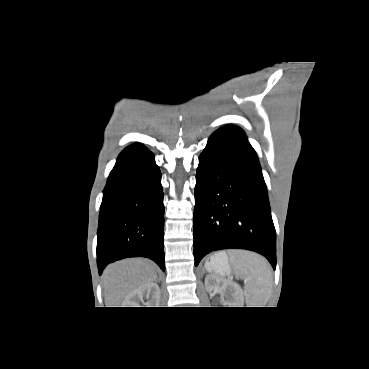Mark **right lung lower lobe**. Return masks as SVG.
Returning a JSON list of instances; mask_svg holds the SVG:
<instances>
[{"label": "right lung lower lobe", "mask_w": 369, "mask_h": 369, "mask_svg": "<svg viewBox=\"0 0 369 369\" xmlns=\"http://www.w3.org/2000/svg\"><path fill=\"white\" fill-rule=\"evenodd\" d=\"M97 234L99 274L111 262L137 256L165 270L161 173L143 145L133 144L118 156L103 191Z\"/></svg>", "instance_id": "98d812e1"}]
</instances>
